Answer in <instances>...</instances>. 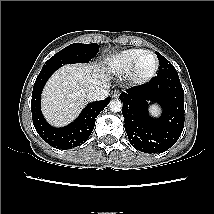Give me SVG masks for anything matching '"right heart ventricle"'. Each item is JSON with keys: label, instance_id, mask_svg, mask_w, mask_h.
Here are the masks:
<instances>
[{"label": "right heart ventricle", "instance_id": "e07e8e85", "mask_svg": "<svg viewBox=\"0 0 214 214\" xmlns=\"http://www.w3.org/2000/svg\"><path fill=\"white\" fill-rule=\"evenodd\" d=\"M143 49H127L121 51L106 60V66L114 74L129 72L134 62L144 52Z\"/></svg>", "mask_w": 214, "mask_h": 214}]
</instances>
